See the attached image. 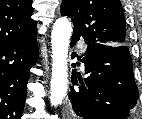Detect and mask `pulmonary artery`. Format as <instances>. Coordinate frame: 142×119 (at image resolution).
<instances>
[{
    "label": "pulmonary artery",
    "mask_w": 142,
    "mask_h": 119,
    "mask_svg": "<svg viewBox=\"0 0 142 119\" xmlns=\"http://www.w3.org/2000/svg\"><path fill=\"white\" fill-rule=\"evenodd\" d=\"M82 52H84V48H82Z\"/></svg>",
    "instance_id": "1"
}]
</instances>
